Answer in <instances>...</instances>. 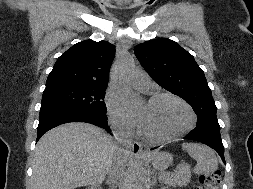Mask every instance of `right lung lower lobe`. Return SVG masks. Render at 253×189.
Instances as JSON below:
<instances>
[{
    "label": "right lung lower lobe",
    "instance_id": "right-lung-lower-lobe-1",
    "mask_svg": "<svg viewBox=\"0 0 253 189\" xmlns=\"http://www.w3.org/2000/svg\"><path fill=\"white\" fill-rule=\"evenodd\" d=\"M68 122L91 123L110 131V128L107 125V117L102 114L61 108L42 109L40 110L39 125L37 128V141L48 130Z\"/></svg>",
    "mask_w": 253,
    "mask_h": 189
}]
</instances>
